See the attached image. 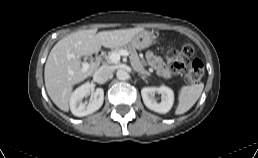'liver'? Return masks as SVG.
Instances as JSON below:
<instances>
[{"label": "liver", "instance_id": "1", "mask_svg": "<svg viewBox=\"0 0 258 158\" xmlns=\"http://www.w3.org/2000/svg\"><path fill=\"white\" fill-rule=\"evenodd\" d=\"M143 28H130L113 31L96 29L81 30L59 40L49 53L44 69L47 93L54 104L63 111L69 110V99L73 86L94 73L96 66L89 64L82 71L81 56H89L106 48H117L128 44ZM74 54L75 57H68Z\"/></svg>", "mask_w": 258, "mask_h": 158}]
</instances>
